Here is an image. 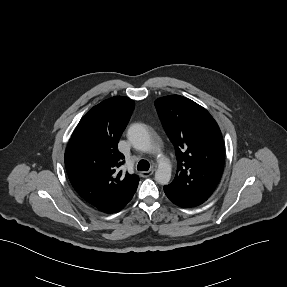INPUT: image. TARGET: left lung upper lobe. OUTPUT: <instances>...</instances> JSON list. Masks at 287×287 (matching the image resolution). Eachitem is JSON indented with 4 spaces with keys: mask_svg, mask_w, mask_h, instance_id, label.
Listing matches in <instances>:
<instances>
[{
    "mask_svg": "<svg viewBox=\"0 0 287 287\" xmlns=\"http://www.w3.org/2000/svg\"><path fill=\"white\" fill-rule=\"evenodd\" d=\"M155 106L178 162L167 187L207 200L224 167L223 138L216 121L205 108L180 95L158 98Z\"/></svg>",
    "mask_w": 287,
    "mask_h": 287,
    "instance_id": "obj_1",
    "label": "left lung upper lobe"
}]
</instances>
